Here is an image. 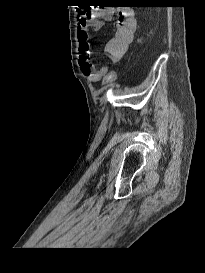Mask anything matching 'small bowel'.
Here are the masks:
<instances>
[{
  "label": "small bowel",
  "mask_w": 205,
  "mask_h": 273,
  "mask_svg": "<svg viewBox=\"0 0 205 273\" xmlns=\"http://www.w3.org/2000/svg\"><path fill=\"white\" fill-rule=\"evenodd\" d=\"M115 12L113 7L107 6L97 12L92 11L78 17L79 65L82 73L92 82H97L106 77L108 67L102 66L97 68L91 62L89 31L99 29L104 21H111ZM136 29L137 21L133 13L127 9L119 10L117 12V26L114 36L105 45V52L112 62H119L123 58L133 40Z\"/></svg>",
  "instance_id": "obj_1"
}]
</instances>
